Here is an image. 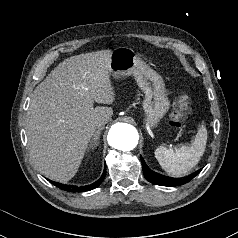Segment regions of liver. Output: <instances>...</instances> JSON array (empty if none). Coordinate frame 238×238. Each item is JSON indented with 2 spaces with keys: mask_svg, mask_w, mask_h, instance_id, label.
Wrapping results in <instances>:
<instances>
[{
  "mask_svg": "<svg viewBox=\"0 0 238 238\" xmlns=\"http://www.w3.org/2000/svg\"><path fill=\"white\" fill-rule=\"evenodd\" d=\"M111 50L75 55L61 62L35 88L26 134L32 161L44 176L67 182L77 173L97 122L110 120Z\"/></svg>",
  "mask_w": 238,
  "mask_h": 238,
  "instance_id": "1",
  "label": "liver"
}]
</instances>
